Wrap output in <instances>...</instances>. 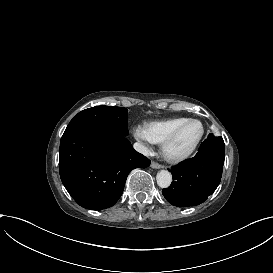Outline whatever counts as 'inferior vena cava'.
Returning a JSON list of instances; mask_svg holds the SVG:
<instances>
[{"label":"inferior vena cava","instance_id":"obj_1","mask_svg":"<svg viewBox=\"0 0 273 273\" xmlns=\"http://www.w3.org/2000/svg\"><path fill=\"white\" fill-rule=\"evenodd\" d=\"M133 147L137 152H139L145 156H149V150L144 145H142L140 143H134Z\"/></svg>","mask_w":273,"mask_h":273}]
</instances>
